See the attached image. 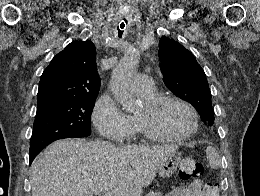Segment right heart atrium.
Here are the masks:
<instances>
[{
    "label": "right heart atrium",
    "mask_w": 260,
    "mask_h": 196,
    "mask_svg": "<svg viewBox=\"0 0 260 196\" xmlns=\"http://www.w3.org/2000/svg\"><path fill=\"white\" fill-rule=\"evenodd\" d=\"M92 120L103 138L92 143H113L119 140L118 130L132 129L131 117L115 102L111 94L103 93L96 101L92 110Z\"/></svg>",
    "instance_id": "d8ad5b80"
}]
</instances>
